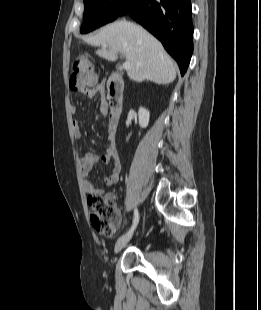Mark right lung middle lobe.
Listing matches in <instances>:
<instances>
[{"mask_svg": "<svg viewBox=\"0 0 261 310\" xmlns=\"http://www.w3.org/2000/svg\"><path fill=\"white\" fill-rule=\"evenodd\" d=\"M129 0H84V15L81 33H88L114 21L119 11Z\"/></svg>", "mask_w": 261, "mask_h": 310, "instance_id": "1", "label": "right lung middle lobe"}]
</instances>
